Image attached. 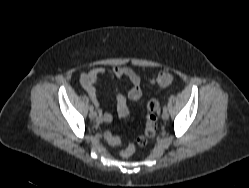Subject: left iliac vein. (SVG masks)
Instances as JSON below:
<instances>
[{
  "label": "left iliac vein",
  "mask_w": 249,
  "mask_h": 188,
  "mask_svg": "<svg viewBox=\"0 0 249 188\" xmlns=\"http://www.w3.org/2000/svg\"><path fill=\"white\" fill-rule=\"evenodd\" d=\"M168 118H169L168 112L167 111H163V113H162V119L163 120H167Z\"/></svg>",
  "instance_id": "4c4485c4"
}]
</instances>
